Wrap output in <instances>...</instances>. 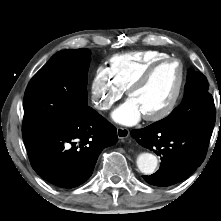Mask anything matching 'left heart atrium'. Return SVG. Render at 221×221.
Listing matches in <instances>:
<instances>
[{
  "instance_id": "1",
  "label": "left heart atrium",
  "mask_w": 221,
  "mask_h": 221,
  "mask_svg": "<svg viewBox=\"0 0 221 221\" xmlns=\"http://www.w3.org/2000/svg\"><path fill=\"white\" fill-rule=\"evenodd\" d=\"M142 115L137 103L129 98L113 112L112 117L120 124L133 125L141 119Z\"/></svg>"
}]
</instances>
